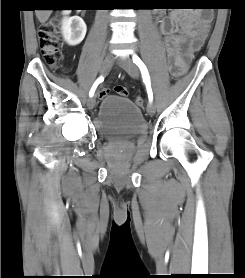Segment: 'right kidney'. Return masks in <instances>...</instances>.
Returning <instances> with one entry per match:
<instances>
[{"mask_svg": "<svg viewBox=\"0 0 245 278\" xmlns=\"http://www.w3.org/2000/svg\"><path fill=\"white\" fill-rule=\"evenodd\" d=\"M71 10H63L62 35L70 46H76L82 42L86 35L87 26L79 16L69 17Z\"/></svg>", "mask_w": 245, "mask_h": 278, "instance_id": "right-kidney-1", "label": "right kidney"}]
</instances>
